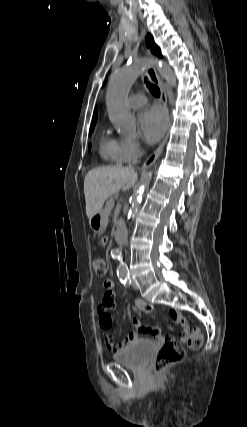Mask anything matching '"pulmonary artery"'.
Here are the masks:
<instances>
[{"mask_svg":"<svg viewBox=\"0 0 247 427\" xmlns=\"http://www.w3.org/2000/svg\"><path fill=\"white\" fill-rule=\"evenodd\" d=\"M146 102H147V99L142 94H134L128 98V105L134 109L142 107L143 105L146 104Z\"/></svg>","mask_w":247,"mask_h":427,"instance_id":"1","label":"pulmonary artery"}]
</instances>
